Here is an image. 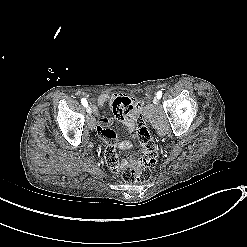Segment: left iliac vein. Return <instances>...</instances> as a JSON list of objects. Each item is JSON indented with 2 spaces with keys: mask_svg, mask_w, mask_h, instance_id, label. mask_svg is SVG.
Here are the masks:
<instances>
[{
  "mask_svg": "<svg viewBox=\"0 0 247 247\" xmlns=\"http://www.w3.org/2000/svg\"><path fill=\"white\" fill-rule=\"evenodd\" d=\"M153 103H154L155 105H158V104H159V99H158L157 97H155V98L153 99Z\"/></svg>",
  "mask_w": 247,
  "mask_h": 247,
  "instance_id": "4c4485c4",
  "label": "left iliac vein"
}]
</instances>
